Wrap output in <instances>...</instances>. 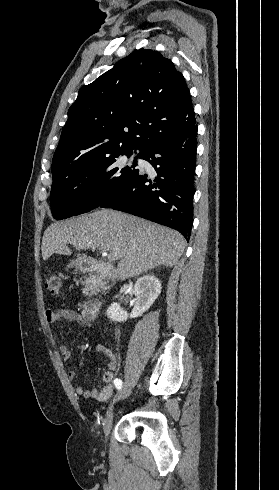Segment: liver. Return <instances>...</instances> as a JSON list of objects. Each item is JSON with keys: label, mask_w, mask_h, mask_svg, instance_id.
<instances>
[{"label": "liver", "mask_w": 279, "mask_h": 490, "mask_svg": "<svg viewBox=\"0 0 279 490\" xmlns=\"http://www.w3.org/2000/svg\"><path fill=\"white\" fill-rule=\"evenodd\" d=\"M111 252L120 260L115 272L118 280L145 274L157 266L173 268L180 260L186 240L175 230L141 220L114 210H97L81 218L55 222L44 232L41 254L48 260L52 254L71 256L72 250ZM77 270L88 262L87 254H74Z\"/></svg>", "instance_id": "liver-1"}]
</instances>
